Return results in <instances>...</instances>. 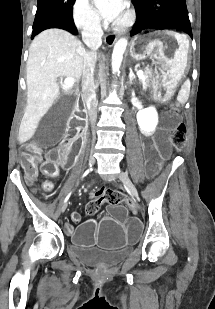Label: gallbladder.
<instances>
[{
    "mask_svg": "<svg viewBox=\"0 0 215 309\" xmlns=\"http://www.w3.org/2000/svg\"><path fill=\"white\" fill-rule=\"evenodd\" d=\"M76 104V94L64 92L53 104L47 115H43L41 125L34 129V139L39 148H54L63 134L65 122Z\"/></svg>",
    "mask_w": 215,
    "mask_h": 309,
    "instance_id": "gallbladder-1",
    "label": "gallbladder"
}]
</instances>
